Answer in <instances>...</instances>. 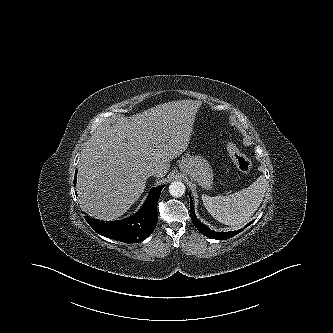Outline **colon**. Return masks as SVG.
I'll return each instance as SVG.
<instances>
[{
  "instance_id": "1",
  "label": "colon",
  "mask_w": 333,
  "mask_h": 333,
  "mask_svg": "<svg viewBox=\"0 0 333 333\" xmlns=\"http://www.w3.org/2000/svg\"><path fill=\"white\" fill-rule=\"evenodd\" d=\"M226 147L227 152L236 169L242 174H248L252 168L251 162L248 157L232 141H229Z\"/></svg>"
}]
</instances>
